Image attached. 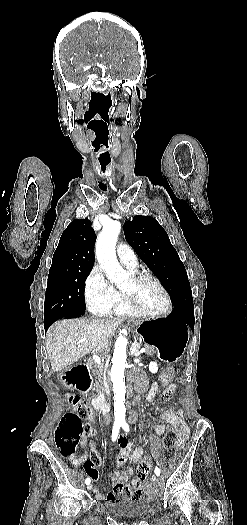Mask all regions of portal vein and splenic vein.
<instances>
[{
    "label": "portal vein and splenic vein",
    "mask_w": 247,
    "mask_h": 525,
    "mask_svg": "<svg viewBox=\"0 0 247 525\" xmlns=\"http://www.w3.org/2000/svg\"><path fill=\"white\" fill-rule=\"evenodd\" d=\"M146 347H141V350H137V353H145ZM90 359H94V363H98V366H101L103 362V357L99 356L97 353H90Z\"/></svg>",
    "instance_id": "portal-vein-and-splenic-vein-1"
}]
</instances>
